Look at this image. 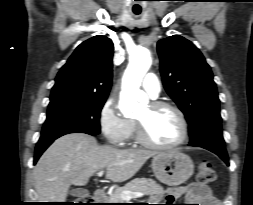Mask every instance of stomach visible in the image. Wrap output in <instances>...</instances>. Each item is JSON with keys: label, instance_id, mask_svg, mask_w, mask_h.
<instances>
[{"label": "stomach", "instance_id": "obj_1", "mask_svg": "<svg viewBox=\"0 0 253 205\" xmlns=\"http://www.w3.org/2000/svg\"><path fill=\"white\" fill-rule=\"evenodd\" d=\"M152 169L160 182L178 186L192 176L194 164L188 155L171 150L157 153L152 160Z\"/></svg>", "mask_w": 253, "mask_h": 205}]
</instances>
